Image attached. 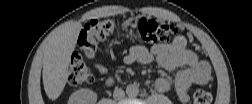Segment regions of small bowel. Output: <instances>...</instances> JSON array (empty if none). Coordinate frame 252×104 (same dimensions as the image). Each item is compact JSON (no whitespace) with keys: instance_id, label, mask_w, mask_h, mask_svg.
<instances>
[{"instance_id":"small-bowel-1","label":"small bowel","mask_w":252,"mask_h":104,"mask_svg":"<svg viewBox=\"0 0 252 104\" xmlns=\"http://www.w3.org/2000/svg\"><path fill=\"white\" fill-rule=\"evenodd\" d=\"M153 61L169 71L180 69L175 75L174 87L181 102L188 101V90L192 85H203L210 79L211 71L208 63L200 61L196 54L187 48L184 36H178L170 43L155 44L151 48L136 45L124 57V62L128 65L149 64ZM94 67L101 74L106 73L104 65L95 62ZM155 87L159 92H167L171 88V81L167 77H159Z\"/></svg>"}]
</instances>
